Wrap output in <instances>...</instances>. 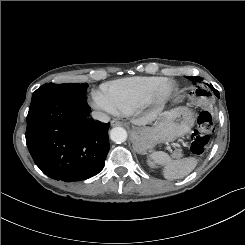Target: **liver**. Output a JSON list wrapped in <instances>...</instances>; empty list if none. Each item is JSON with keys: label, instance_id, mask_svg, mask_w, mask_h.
<instances>
[{"label": "liver", "instance_id": "liver-1", "mask_svg": "<svg viewBox=\"0 0 245 245\" xmlns=\"http://www.w3.org/2000/svg\"><path fill=\"white\" fill-rule=\"evenodd\" d=\"M156 117H157V112H151L142 118L135 119L133 122L136 125L142 126L151 123L153 120H155Z\"/></svg>", "mask_w": 245, "mask_h": 245}]
</instances>
